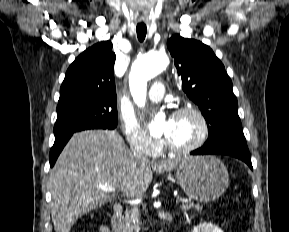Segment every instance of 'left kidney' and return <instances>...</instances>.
Wrapping results in <instances>:
<instances>
[{
	"label": "left kidney",
	"mask_w": 289,
	"mask_h": 232,
	"mask_svg": "<svg viewBox=\"0 0 289 232\" xmlns=\"http://www.w3.org/2000/svg\"><path fill=\"white\" fill-rule=\"evenodd\" d=\"M193 232H223V230L212 223H201L194 227Z\"/></svg>",
	"instance_id": "5707ae66"
}]
</instances>
